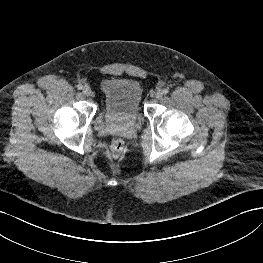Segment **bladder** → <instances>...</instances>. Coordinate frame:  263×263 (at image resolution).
Listing matches in <instances>:
<instances>
[{"label":"bladder","mask_w":263,"mask_h":263,"mask_svg":"<svg viewBox=\"0 0 263 263\" xmlns=\"http://www.w3.org/2000/svg\"><path fill=\"white\" fill-rule=\"evenodd\" d=\"M104 119L114 125L131 126L141 114L143 89L130 77H107L101 82Z\"/></svg>","instance_id":"obj_1"}]
</instances>
